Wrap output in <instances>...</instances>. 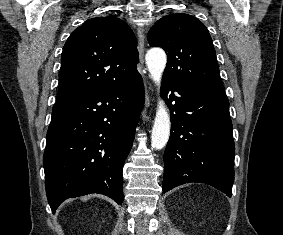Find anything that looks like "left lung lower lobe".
<instances>
[{
    "instance_id": "obj_1",
    "label": "left lung lower lobe",
    "mask_w": 283,
    "mask_h": 235,
    "mask_svg": "<svg viewBox=\"0 0 283 235\" xmlns=\"http://www.w3.org/2000/svg\"><path fill=\"white\" fill-rule=\"evenodd\" d=\"M162 95L172 123L164 153L163 192L199 182L231 197L235 147L226 95L204 92L164 76Z\"/></svg>"
}]
</instances>
